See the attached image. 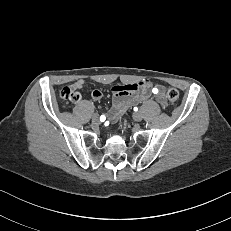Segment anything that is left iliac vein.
I'll list each match as a JSON object with an SVG mask.
<instances>
[{"mask_svg":"<svg viewBox=\"0 0 231 231\" xmlns=\"http://www.w3.org/2000/svg\"><path fill=\"white\" fill-rule=\"evenodd\" d=\"M143 116H142V113L140 112H135L133 114V119L137 122H140L142 120Z\"/></svg>","mask_w":231,"mask_h":231,"instance_id":"4c4485c4","label":"left iliac vein"}]
</instances>
